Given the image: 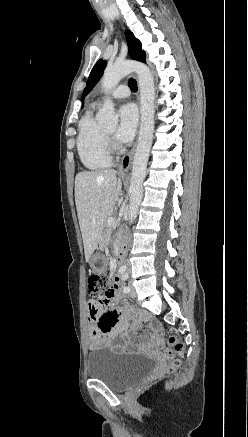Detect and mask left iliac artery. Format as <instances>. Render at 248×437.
I'll return each instance as SVG.
<instances>
[{
    "mask_svg": "<svg viewBox=\"0 0 248 437\" xmlns=\"http://www.w3.org/2000/svg\"><path fill=\"white\" fill-rule=\"evenodd\" d=\"M127 278H128V274L127 273H125V274H123L122 275V281H125V280H127ZM130 291V288L128 287V286H124L123 287V292L124 293H128Z\"/></svg>",
    "mask_w": 248,
    "mask_h": 437,
    "instance_id": "1",
    "label": "left iliac artery"
}]
</instances>
